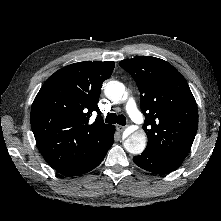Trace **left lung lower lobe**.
<instances>
[{
    "label": "left lung lower lobe",
    "instance_id": "left-lung-lower-lobe-1",
    "mask_svg": "<svg viewBox=\"0 0 221 221\" xmlns=\"http://www.w3.org/2000/svg\"><path fill=\"white\" fill-rule=\"evenodd\" d=\"M136 165L154 173H169L176 170L182 161L144 151L133 158Z\"/></svg>",
    "mask_w": 221,
    "mask_h": 221
}]
</instances>
